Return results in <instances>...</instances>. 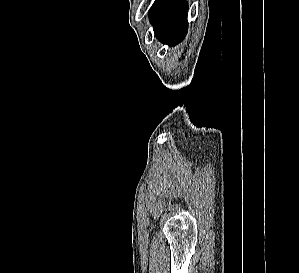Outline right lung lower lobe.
Wrapping results in <instances>:
<instances>
[{
	"instance_id": "1",
	"label": "right lung lower lobe",
	"mask_w": 299,
	"mask_h": 273,
	"mask_svg": "<svg viewBox=\"0 0 299 273\" xmlns=\"http://www.w3.org/2000/svg\"><path fill=\"white\" fill-rule=\"evenodd\" d=\"M186 0H156L150 9L155 36L168 46L180 43L187 33Z\"/></svg>"
}]
</instances>
